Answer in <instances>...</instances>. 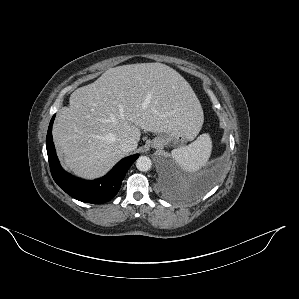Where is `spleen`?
I'll return each instance as SVG.
<instances>
[{
	"label": "spleen",
	"mask_w": 299,
	"mask_h": 299,
	"mask_svg": "<svg viewBox=\"0 0 299 299\" xmlns=\"http://www.w3.org/2000/svg\"><path fill=\"white\" fill-rule=\"evenodd\" d=\"M212 151V141L208 133L200 135L187 146L172 150L175 162L187 172H195L206 165Z\"/></svg>",
	"instance_id": "3e777b00"
}]
</instances>
